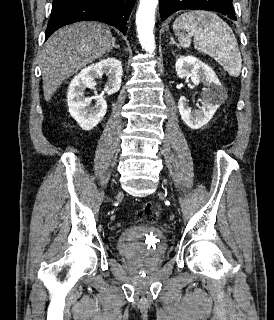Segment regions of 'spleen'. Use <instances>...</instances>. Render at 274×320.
Here are the masks:
<instances>
[{
    "label": "spleen",
    "instance_id": "spleen-1",
    "mask_svg": "<svg viewBox=\"0 0 274 320\" xmlns=\"http://www.w3.org/2000/svg\"><path fill=\"white\" fill-rule=\"evenodd\" d=\"M173 30L181 46L189 48L194 36V48L198 52L214 58L229 76H240L242 58L237 40L228 24L217 14L203 10L185 12L176 18ZM184 32H187L186 36Z\"/></svg>",
    "mask_w": 274,
    "mask_h": 320
}]
</instances>
